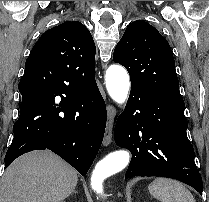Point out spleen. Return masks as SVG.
Here are the masks:
<instances>
[{"mask_svg":"<svg viewBox=\"0 0 209 202\" xmlns=\"http://www.w3.org/2000/svg\"><path fill=\"white\" fill-rule=\"evenodd\" d=\"M148 190L161 202H196L191 192L173 179L157 178L148 186Z\"/></svg>","mask_w":209,"mask_h":202,"instance_id":"3e777b00","label":"spleen"}]
</instances>
